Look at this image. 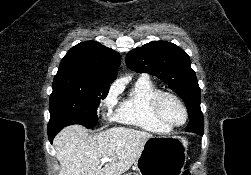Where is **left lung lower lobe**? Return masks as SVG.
I'll list each match as a JSON object with an SVG mask.
<instances>
[{
	"label": "left lung lower lobe",
	"mask_w": 251,
	"mask_h": 175,
	"mask_svg": "<svg viewBox=\"0 0 251 175\" xmlns=\"http://www.w3.org/2000/svg\"><path fill=\"white\" fill-rule=\"evenodd\" d=\"M188 110V114H189V120H197L199 119V117H195V115L198 114L197 110L194 109H187Z\"/></svg>",
	"instance_id": "1"
}]
</instances>
